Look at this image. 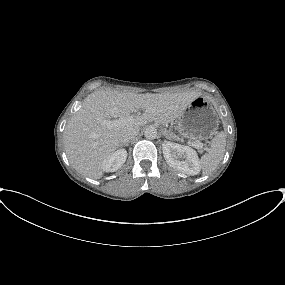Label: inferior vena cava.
<instances>
[{
	"mask_svg": "<svg viewBox=\"0 0 285 285\" xmlns=\"http://www.w3.org/2000/svg\"><path fill=\"white\" fill-rule=\"evenodd\" d=\"M137 134L138 132L134 130H124L119 135V142H121V144H127L134 139Z\"/></svg>",
	"mask_w": 285,
	"mask_h": 285,
	"instance_id": "inferior-vena-cava-1",
	"label": "inferior vena cava"
}]
</instances>
